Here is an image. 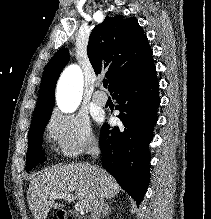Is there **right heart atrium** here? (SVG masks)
I'll return each instance as SVG.
<instances>
[{
  "instance_id": "right-heart-atrium-1",
  "label": "right heart atrium",
  "mask_w": 211,
  "mask_h": 219,
  "mask_svg": "<svg viewBox=\"0 0 211 219\" xmlns=\"http://www.w3.org/2000/svg\"><path fill=\"white\" fill-rule=\"evenodd\" d=\"M46 134L60 155L74 158L97 148L89 120L81 115L54 111L46 123Z\"/></svg>"
}]
</instances>
